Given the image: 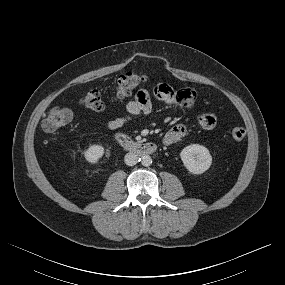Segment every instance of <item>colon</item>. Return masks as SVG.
<instances>
[{"instance_id": "5ec220e1", "label": "colon", "mask_w": 285, "mask_h": 285, "mask_svg": "<svg viewBox=\"0 0 285 285\" xmlns=\"http://www.w3.org/2000/svg\"><path fill=\"white\" fill-rule=\"evenodd\" d=\"M145 77L134 72H127L118 77L112 87V98L123 99L133 93L143 82ZM81 104L91 110L101 111L106 107L103 94L97 89L88 90L80 100ZM74 119V112L69 108L53 107L42 120L41 126L45 132L53 133L58 129L70 124ZM245 129L235 126L230 131L231 138L241 142L245 138Z\"/></svg>"}]
</instances>
